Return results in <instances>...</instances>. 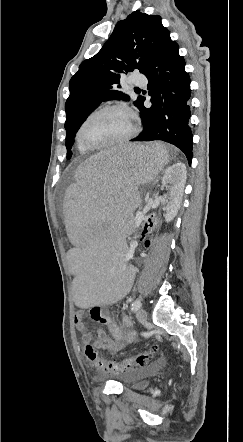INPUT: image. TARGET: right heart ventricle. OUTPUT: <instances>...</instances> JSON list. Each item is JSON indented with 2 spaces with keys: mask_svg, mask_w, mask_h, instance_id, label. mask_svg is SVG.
<instances>
[{
  "mask_svg": "<svg viewBox=\"0 0 243 442\" xmlns=\"http://www.w3.org/2000/svg\"><path fill=\"white\" fill-rule=\"evenodd\" d=\"M77 147H78V150H79L80 152H82V153L88 151L86 148H84V147L80 144V142L78 141V139H77Z\"/></svg>",
  "mask_w": 243,
  "mask_h": 442,
  "instance_id": "e07e8e85",
  "label": "right heart ventricle"
}]
</instances>
